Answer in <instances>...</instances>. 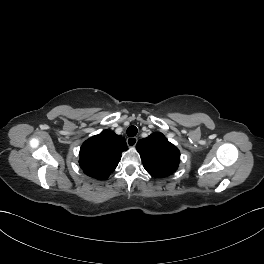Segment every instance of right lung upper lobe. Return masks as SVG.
<instances>
[{
	"mask_svg": "<svg viewBox=\"0 0 264 264\" xmlns=\"http://www.w3.org/2000/svg\"><path fill=\"white\" fill-rule=\"evenodd\" d=\"M128 149L125 139L110 130H104L86 140L80 149V167L84 173L104 180L117 167L121 154Z\"/></svg>",
	"mask_w": 264,
	"mask_h": 264,
	"instance_id": "obj_1",
	"label": "right lung upper lobe"
}]
</instances>
